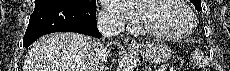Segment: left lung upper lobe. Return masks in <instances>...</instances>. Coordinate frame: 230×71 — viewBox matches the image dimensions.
<instances>
[{
  "instance_id": "1",
  "label": "left lung upper lobe",
  "mask_w": 230,
  "mask_h": 71,
  "mask_svg": "<svg viewBox=\"0 0 230 71\" xmlns=\"http://www.w3.org/2000/svg\"><path fill=\"white\" fill-rule=\"evenodd\" d=\"M197 10L201 9V0H190Z\"/></svg>"
}]
</instances>
